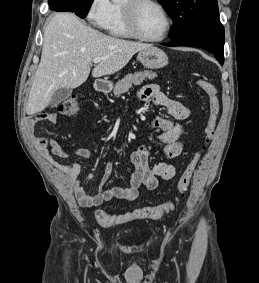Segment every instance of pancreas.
<instances>
[{
  "label": "pancreas",
  "instance_id": "pancreas-1",
  "mask_svg": "<svg viewBox=\"0 0 259 283\" xmlns=\"http://www.w3.org/2000/svg\"><path fill=\"white\" fill-rule=\"evenodd\" d=\"M157 77V74L152 71L135 72L126 75L122 80L118 81L114 87L113 93L116 97L126 93L132 85H140L147 78L152 80Z\"/></svg>",
  "mask_w": 259,
  "mask_h": 283
}]
</instances>
